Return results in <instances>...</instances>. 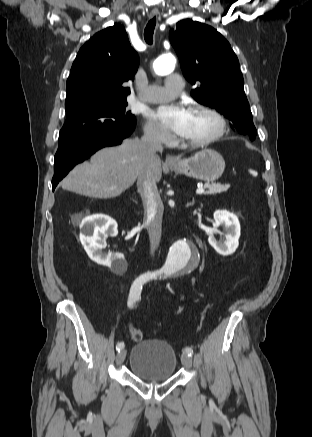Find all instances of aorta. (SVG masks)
Wrapping results in <instances>:
<instances>
[{
  "label": "aorta",
  "instance_id": "762f6f07",
  "mask_svg": "<svg viewBox=\"0 0 312 437\" xmlns=\"http://www.w3.org/2000/svg\"><path fill=\"white\" fill-rule=\"evenodd\" d=\"M176 59L171 54L158 57L153 63L157 75H167L175 68ZM198 260V252L184 240L175 242L168 253V257L161 271L166 275L187 271Z\"/></svg>",
  "mask_w": 312,
  "mask_h": 437
}]
</instances>
